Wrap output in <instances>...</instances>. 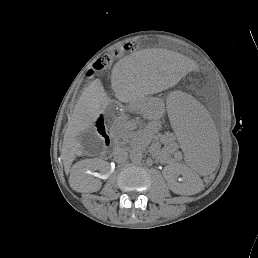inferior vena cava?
Listing matches in <instances>:
<instances>
[{"label":"inferior vena cava","mask_w":258,"mask_h":258,"mask_svg":"<svg viewBox=\"0 0 258 258\" xmlns=\"http://www.w3.org/2000/svg\"><path fill=\"white\" fill-rule=\"evenodd\" d=\"M128 153L124 149H119L114 153V160L117 163H123L127 160Z\"/></svg>","instance_id":"obj_1"}]
</instances>
